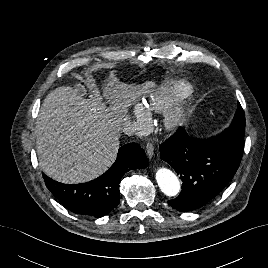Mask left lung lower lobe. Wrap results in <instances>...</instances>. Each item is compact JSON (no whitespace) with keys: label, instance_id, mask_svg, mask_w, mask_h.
Here are the masks:
<instances>
[{"label":"left lung lower lobe","instance_id":"obj_1","mask_svg":"<svg viewBox=\"0 0 268 268\" xmlns=\"http://www.w3.org/2000/svg\"><path fill=\"white\" fill-rule=\"evenodd\" d=\"M161 159L180 175L179 196L168 203L178 211L198 209L217 196L236 173L241 151L220 142L217 137L195 140L180 127L161 148Z\"/></svg>","mask_w":268,"mask_h":268}]
</instances>
